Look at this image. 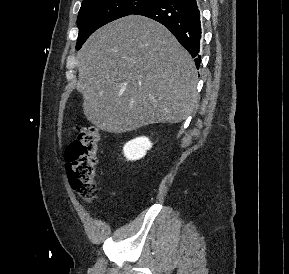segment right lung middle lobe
<instances>
[{"label":"right lung middle lobe","instance_id":"right-lung-middle-lobe-1","mask_svg":"<svg viewBox=\"0 0 289 274\" xmlns=\"http://www.w3.org/2000/svg\"><path fill=\"white\" fill-rule=\"evenodd\" d=\"M158 0H83L78 18L79 35L76 49L101 26L134 14Z\"/></svg>","mask_w":289,"mask_h":274}]
</instances>
